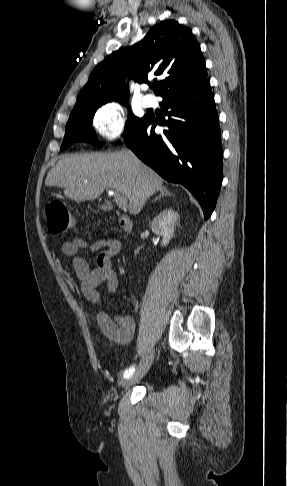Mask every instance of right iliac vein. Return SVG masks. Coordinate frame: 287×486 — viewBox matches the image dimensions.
<instances>
[{
    "label": "right iliac vein",
    "instance_id": "obj_1",
    "mask_svg": "<svg viewBox=\"0 0 287 486\" xmlns=\"http://www.w3.org/2000/svg\"><path fill=\"white\" fill-rule=\"evenodd\" d=\"M153 358H154V350H149L147 353H145V355L142 357V359L140 361L138 369L136 370V372L131 377H129L128 379H126L124 381L123 387L129 388L132 385H134L136 382L141 380L143 378V376L149 370V368L152 364Z\"/></svg>",
    "mask_w": 287,
    "mask_h": 486
}]
</instances>
